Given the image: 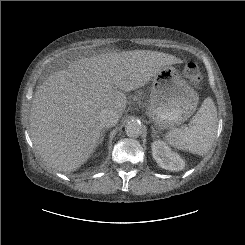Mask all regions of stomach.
<instances>
[{
    "mask_svg": "<svg viewBox=\"0 0 245 245\" xmlns=\"http://www.w3.org/2000/svg\"><path fill=\"white\" fill-rule=\"evenodd\" d=\"M147 115L160 129H172L187 121L196 111L197 92L172 66L160 70L152 80Z\"/></svg>",
    "mask_w": 245,
    "mask_h": 245,
    "instance_id": "stomach-1",
    "label": "stomach"
}]
</instances>
